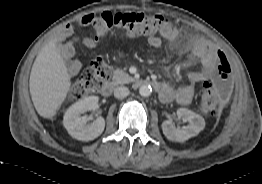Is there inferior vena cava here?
<instances>
[{
    "label": "inferior vena cava",
    "instance_id": "inferior-vena-cava-1",
    "mask_svg": "<svg viewBox=\"0 0 262 184\" xmlns=\"http://www.w3.org/2000/svg\"><path fill=\"white\" fill-rule=\"evenodd\" d=\"M130 93L129 89L124 86H120L114 89V96L118 99L125 98Z\"/></svg>",
    "mask_w": 262,
    "mask_h": 184
}]
</instances>
